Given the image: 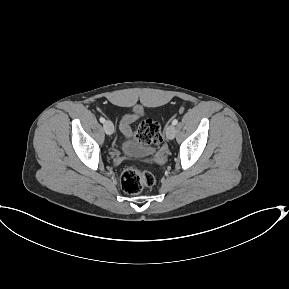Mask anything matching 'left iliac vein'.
Wrapping results in <instances>:
<instances>
[{
    "label": "left iliac vein",
    "mask_w": 289,
    "mask_h": 289,
    "mask_svg": "<svg viewBox=\"0 0 289 289\" xmlns=\"http://www.w3.org/2000/svg\"><path fill=\"white\" fill-rule=\"evenodd\" d=\"M175 134H176L175 126L173 124L167 126V128H166V136H167V138L169 140H172V139H174Z\"/></svg>",
    "instance_id": "obj_1"
}]
</instances>
